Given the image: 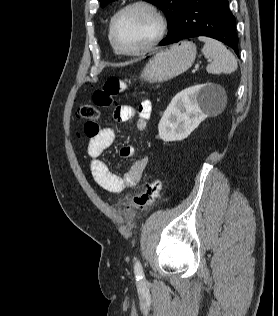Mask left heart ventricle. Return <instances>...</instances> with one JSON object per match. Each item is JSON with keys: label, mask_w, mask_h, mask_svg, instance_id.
Returning <instances> with one entry per match:
<instances>
[{"label": "left heart ventricle", "mask_w": 278, "mask_h": 316, "mask_svg": "<svg viewBox=\"0 0 278 316\" xmlns=\"http://www.w3.org/2000/svg\"><path fill=\"white\" fill-rule=\"evenodd\" d=\"M156 32V22L146 10L136 8L119 17L115 26L118 44L125 50L137 49L148 43Z\"/></svg>", "instance_id": "1"}]
</instances>
